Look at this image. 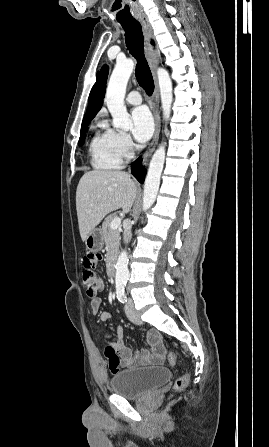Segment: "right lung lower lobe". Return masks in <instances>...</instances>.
Returning a JSON list of instances; mask_svg holds the SVG:
<instances>
[{
	"label": "right lung lower lobe",
	"instance_id": "1",
	"mask_svg": "<svg viewBox=\"0 0 269 447\" xmlns=\"http://www.w3.org/2000/svg\"><path fill=\"white\" fill-rule=\"evenodd\" d=\"M142 159L138 158L134 163H132V174L136 177L139 182H143L145 179L146 170L141 165Z\"/></svg>",
	"mask_w": 269,
	"mask_h": 447
}]
</instances>
